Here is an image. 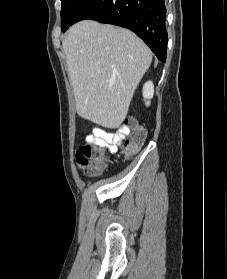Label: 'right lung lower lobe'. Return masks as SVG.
I'll use <instances>...</instances> for the list:
<instances>
[{"label":"right lung lower lobe","instance_id":"obj_1","mask_svg":"<svg viewBox=\"0 0 227 279\" xmlns=\"http://www.w3.org/2000/svg\"><path fill=\"white\" fill-rule=\"evenodd\" d=\"M164 1L84 0L72 24L91 19L128 28L142 38L159 60L165 62L168 36Z\"/></svg>","mask_w":227,"mask_h":279}]
</instances>
